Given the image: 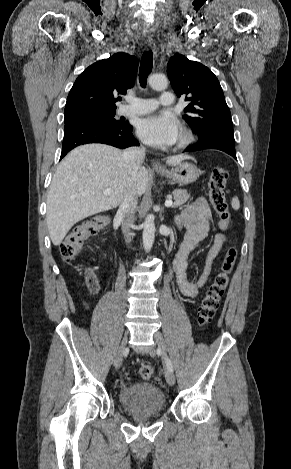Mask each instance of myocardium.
Returning a JSON list of instances; mask_svg holds the SVG:
<instances>
[{
	"label": "myocardium",
	"instance_id": "myocardium-1",
	"mask_svg": "<svg viewBox=\"0 0 291 469\" xmlns=\"http://www.w3.org/2000/svg\"><path fill=\"white\" fill-rule=\"evenodd\" d=\"M193 139L194 137L192 132L187 128H183L180 132L176 147L178 149H184L193 142Z\"/></svg>",
	"mask_w": 291,
	"mask_h": 469
}]
</instances>
